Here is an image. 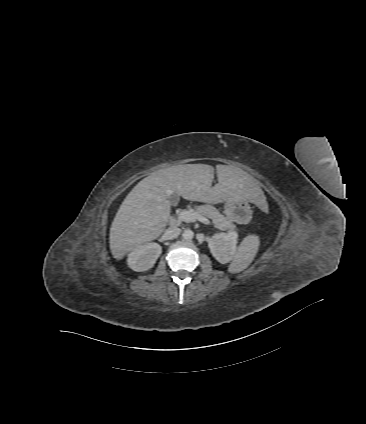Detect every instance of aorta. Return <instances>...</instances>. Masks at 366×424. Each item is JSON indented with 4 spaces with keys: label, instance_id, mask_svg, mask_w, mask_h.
Instances as JSON below:
<instances>
[{
    "label": "aorta",
    "instance_id": "aorta-1",
    "mask_svg": "<svg viewBox=\"0 0 366 424\" xmlns=\"http://www.w3.org/2000/svg\"><path fill=\"white\" fill-rule=\"evenodd\" d=\"M182 237H183V239H184V240H187V241H188V240L193 239V237H194V233H193V231H192V230L187 229V230H185V231L183 232Z\"/></svg>",
    "mask_w": 366,
    "mask_h": 424
}]
</instances>
